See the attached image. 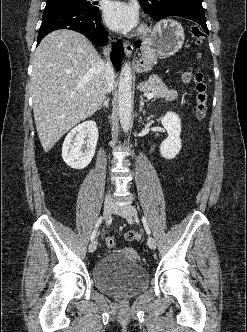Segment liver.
<instances>
[{
	"label": "liver",
	"instance_id": "liver-1",
	"mask_svg": "<svg viewBox=\"0 0 247 332\" xmlns=\"http://www.w3.org/2000/svg\"><path fill=\"white\" fill-rule=\"evenodd\" d=\"M103 62L86 37L67 29L48 34L35 50L33 112L45 152L103 103L107 92Z\"/></svg>",
	"mask_w": 247,
	"mask_h": 332
}]
</instances>
